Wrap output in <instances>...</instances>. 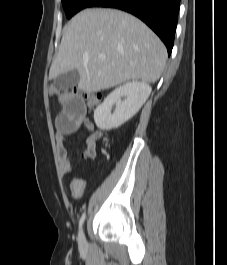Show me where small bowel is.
Returning a JSON list of instances; mask_svg holds the SVG:
<instances>
[{"instance_id":"c3829d8e","label":"small bowel","mask_w":227,"mask_h":265,"mask_svg":"<svg viewBox=\"0 0 227 265\" xmlns=\"http://www.w3.org/2000/svg\"><path fill=\"white\" fill-rule=\"evenodd\" d=\"M58 100L59 104L64 105L63 111L56 118L57 140L61 170L63 175H67L72 170V160L63 144L64 138L84 126L89 131V135L86 138V148L81 153V159L93 160L97 156L96 144L102 138V132L95 129L94 124L86 116L87 105L85 97L81 96V91H75V87H62V96H59ZM85 188L86 182L81 177L74 178L70 183V191L75 199L82 197Z\"/></svg>"}]
</instances>
